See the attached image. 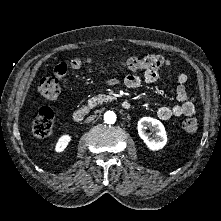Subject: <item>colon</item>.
Returning <instances> with one entry per match:
<instances>
[{
	"mask_svg": "<svg viewBox=\"0 0 221 221\" xmlns=\"http://www.w3.org/2000/svg\"><path fill=\"white\" fill-rule=\"evenodd\" d=\"M118 66L131 71H152L158 72L167 66V59L158 54H151L142 58L129 57L117 63ZM82 62L74 59L70 62V68L78 70ZM69 66L66 63H60L55 66L53 72L39 81V93L47 99H55L60 93V80L65 77ZM54 113L50 108H43L33 122V132L38 137H48L53 131ZM183 132L193 134L198 129L197 120L193 117H187L181 124Z\"/></svg>",
	"mask_w": 221,
	"mask_h": 221,
	"instance_id": "1",
	"label": "colon"
}]
</instances>
